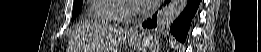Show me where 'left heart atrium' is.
Returning a JSON list of instances; mask_svg holds the SVG:
<instances>
[{
  "instance_id": "1",
  "label": "left heart atrium",
  "mask_w": 261,
  "mask_h": 52,
  "mask_svg": "<svg viewBox=\"0 0 261 52\" xmlns=\"http://www.w3.org/2000/svg\"><path fill=\"white\" fill-rule=\"evenodd\" d=\"M158 0H133L135 7L139 10H148L156 6Z\"/></svg>"
}]
</instances>
